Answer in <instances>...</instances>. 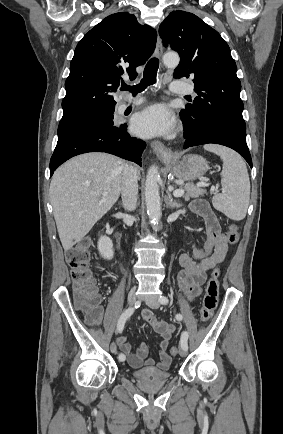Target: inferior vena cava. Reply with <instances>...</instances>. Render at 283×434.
<instances>
[{
  "mask_svg": "<svg viewBox=\"0 0 283 434\" xmlns=\"http://www.w3.org/2000/svg\"><path fill=\"white\" fill-rule=\"evenodd\" d=\"M137 179L136 167L125 165L121 182V197L125 210L133 211L136 208L138 195Z\"/></svg>",
  "mask_w": 283,
  "mask_h": 434,
  "instance_id": "obj_1",
  "label": "inferior vena cava"
}]
</instances>
